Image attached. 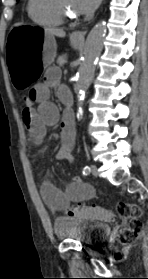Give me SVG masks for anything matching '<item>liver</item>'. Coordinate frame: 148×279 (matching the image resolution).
Wrapping results in <instances>:
<instances>
[{
    "label": "liver",
    "mask_w": 148,
    "mask_h": 279,
    "mask_svg": "<svg viewBox=\"0 0 148 279\" xmlns=\"http://www.w3.org/2000/svg\"><path fill=\"white\" fill-rule=\"evenodd\" d=\"M45 32L51 36L65 37L66 33L63 29L58 28H45Z\"/></svg>",
    "instance_id": "obj_1"
}]
</instances>
